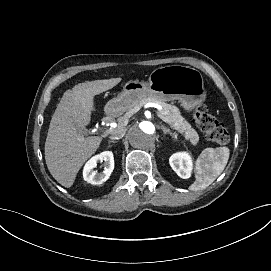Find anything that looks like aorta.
Masks as SVG:
<instances>
[{"label":"aorta","mask_w":271,"mask_h":271,"mask_svg":"<svg viewBox=\"0 0 271 271\" xmlns=\"http://www.w3.org/2000/svg\"><path fill=\"white\" fill-rule=\"evenodd\" d=\"M157 126L150 120L135 123L128 131L130 145L138 150L148 151L155 146Z\"/></svg>","instance_id":"aorta-1"}]
</instances>
